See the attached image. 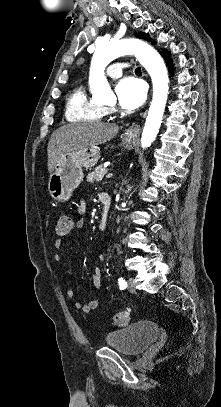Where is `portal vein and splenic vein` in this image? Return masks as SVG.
I'll return each instance as SVG.
<instances>
[{
	"label": "portal vein and splenic vein",
	"mask_w": 221,
	"mask_h": 407,
	"mask_svg": "<svg viewBox=\"0 0 221 407\" xmlns=\"http://www.w3.org/2000/svg\"><path fill=\"white\" fill-rule=\"evenodd\" d=\"M112 176H113V174L109 173V174L106 175V178H111Z\"/></svg>",
	"instance_id": "obj_1"
}]
</instances>
